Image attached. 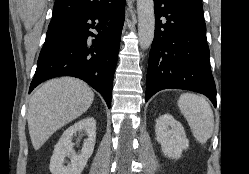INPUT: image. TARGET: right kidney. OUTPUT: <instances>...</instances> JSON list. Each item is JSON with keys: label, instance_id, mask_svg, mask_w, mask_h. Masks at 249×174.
Returning a JSON list of instances; mask_svg holds the SVG:
<instances>
[{"label": "right kidney", "instance_id": "obj_1", "mask_svg": "<svg viewBox=\"0 0 249 174\" xmlns=\"http://www.w3.org/2000/svg\"><path fill=\"white\" fill-rule=\"evenodd\" d=\"M77 132L86 134L82 151L77 155L73 150L72 136ZM96 142V121L88 117L70 126L56 144L50 159V171L52 174H81L88 159L93 154ZM70 157L71 163L64 165L65 157Z\"/></svg>", "mask_w": 249, "mask_h": 174}]
</instances>
